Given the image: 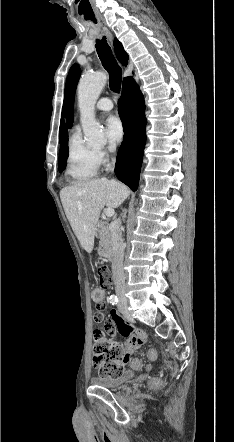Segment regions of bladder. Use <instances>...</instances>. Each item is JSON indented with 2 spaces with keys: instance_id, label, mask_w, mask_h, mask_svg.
<instances>
[{
  "instance_id": "1",
  "label": "bladder",
  "mask_w": 234,
  "mask_h": 442,
  "mask_svg": "<svg viewBox=\"0 0 234 442\" xmlns=\"http://www.w3.org/2000/svg\"><path fill=\"white\" fill-rule=\"evenodd\" d=\"M134 376V372L132 370L123 371L119 376L116 377H94L92 382L94 385L106 388V389H116L121 386L123 383L128 382Z\"/></svg>"
}]
</instances>
